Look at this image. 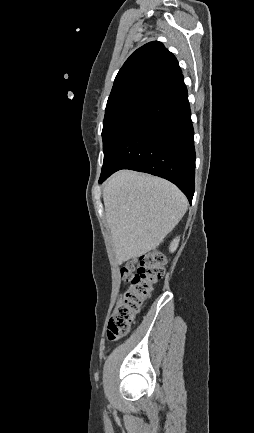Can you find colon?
<instances>
[{
    "instance_id": "obj_1",
    "label": "colon",
    "mask_w": 254,
    "mask_h": 433,
    "mask_svg": "<svg viewBox=\"0 0 254 433\" xmlns=\"http://www.w3.org/2000/svg\"><path fill=\"white\" fill-rule=\"evenodd\" d=\"M164 264V255L158 251H151L123 265L121 276L129 285L120 294L109 320V341L114 342L129 333L150 297L153 286L163 276Z\"/></svg>"
}]
</instances>
